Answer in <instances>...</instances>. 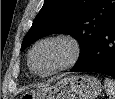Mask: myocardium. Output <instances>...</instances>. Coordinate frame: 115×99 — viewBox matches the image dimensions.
I'll return each mask as SVG.
<instances>
[{
  "label": "myocardium",
  "instance_id": "f54148a6",
  "mask_svg": "<svg viewBox=\"0 0 115 99\" xmlns=\"http://www.w3.org/2000/svg\"><path fill=\"white\" fill-rule=\"evenodd\" d=\"M48 42H63L67 44L70 48V56L68 60L61 66L51 71L42 73V72L37 71L33 65V54L39 46ZM81 52H82V48H81L80 42L74 36L67 33L51 34L38 40L32 46L28 54V65H29L30 70L36 75L41 76V77H48L74 66L76 62L79 60Z\"/></svg>",
  "mask_w": 115,
  "mask_h": 99
}]
</instances>
